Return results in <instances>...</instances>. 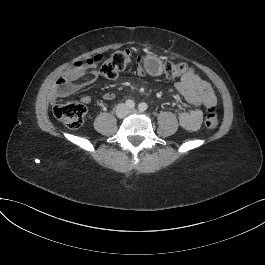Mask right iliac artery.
Wrapping results in <instances>:
<instances>
[{
	"label": "right iliac artery",
	"mask_w": 265,
	"mask_h": 265,
	"mask_svg": "<svg viewBox=\"0 0 265 265\" xmlns=\"http://www.w3.org/2000/svg\"><path fill=\"white\" fill-rule=\"evenodd\" d=\"M126 106L133 109L135 107V103L132 100H126L125 102Z\"/></svg>",
	"instance_id": "obj_1"
}]
</instances>
